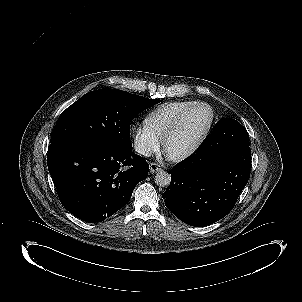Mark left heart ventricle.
Returning a JSON list of instances; mask_svg holds the SVG:
<instances>
[{"mask_svg":"<svg viewBox=\"0 0 302 302\" xmlns=\"http://www.w3.org/2000/svg\"><path fill=\"white\" fill-rule=\"evenodd\" d=\"M206 117V112L201 109L188 114L171 136L169 148L179 153L191 147L203 130Z\"/></svg>","mask_w":302,"mask_h":302,"instance_id":"1","label":"left heart ventricle"}]
</instances>
